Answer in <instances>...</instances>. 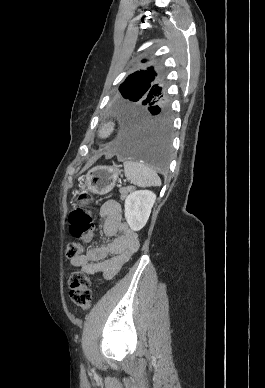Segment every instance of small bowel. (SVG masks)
I'll return each mask as SVG.
<instances>
[{
    "label": "small bowel",
    "mask_w": 265,
    "mask_h": 388,
    "mask_svg": "<svg viewBox=\"0 0 265 388\" xmlns=\"http://www.w3.org/2000/svg\"><path fill=\"white\" fill-rule=\"evenodd\" d=\"M103 233L110 242L92 247L86 253L70 260L73 267L87 275L102 273L112 279L131 259L139 247L138 235L122 220V208L115 200H108L100 208Z\"/></svg>",
    "instance_id": "small-bowel-1"
}]
</instances>
